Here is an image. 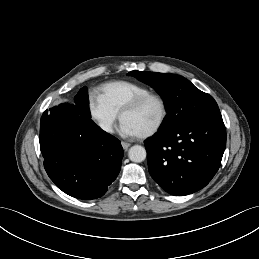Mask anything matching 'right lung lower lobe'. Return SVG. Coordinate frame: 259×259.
<instances>
[{
    "mask_svg": "<svg viewBox=\"0 0 259 259\" xmlns=\"http://www.w3.org/2000/svg\"><path fill=\"white\" fill-rule=\"evenodd\" d=\"M39 141L48 176L72 197H101L120 171L124 154L120 141L81 115L75 105L46 110Z\"/></svg>",
    "mask_w": 259,
    "mask_h": 259,
    "instance_id": "right-lung-lower-lobe-1",
    "label": "right lung lower lobe"
}]
</instances>
